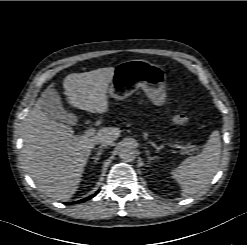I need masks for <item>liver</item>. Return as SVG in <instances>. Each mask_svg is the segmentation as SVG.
Instances as JSON below:
<instances>
[{
    "instance_id": "obj_1",
    "label": "liver",
    "mask_w": 247,
    "mask_h": 245,
    "mask_svg": "<svg viewBox=\"0 0 247 245\" xmlns=\"http://www.w3.org/2000/svg\"><path fill=\"white\" fill-rule=\"evenodd\" d=\"M114 70L107 67L67 75L63 87L68 103L91 113H107ZM120 132L119 128L105 127L93 137L75 136L72 127L49 118L38 100L23 122L22 161L41 192L67 201L77 191L91 149L103 139L117 140Z\"/></svg>"
}]
</instances>
